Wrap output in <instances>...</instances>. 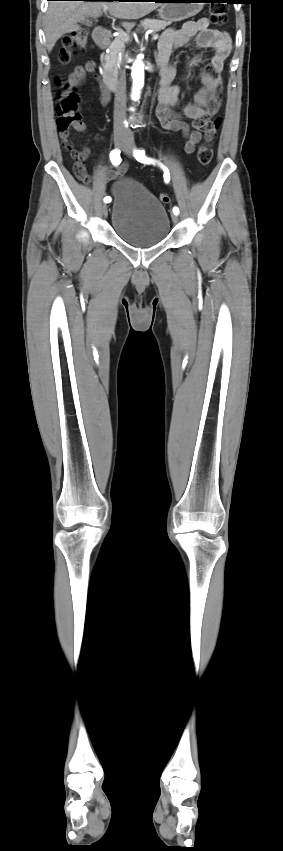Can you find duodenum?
<instances>
[{
    "label": "duodenum",
    "instance_id": "duodenum-1",
    "mask_svg": "<svg viewBox=\"0 0 283 851\" xmlns=\"http://www.w3.org/2000/svg\"><path fill=\"white\" fill-rule=\"evenodd\" d=\"M94 39H95L96 44L99 47L105 48L110 43L111 33H110V31H108L106 29H99V30L96 31ZM105 79L107 81L106 84L109 86V89L111 91H113L115 89V86H116L115 79L113 77H110V76L105 77Z\"/></svg>",
    "mask_w": 283,
    "mask_h": 851
}]
</instances>
